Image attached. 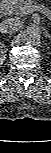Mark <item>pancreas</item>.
<instances>
[{
  "instance_id": "1",
  "label": "pancreas",
  "mask_w": 51,
  "mask_h": 153,
  "mask_svg": "<svg viewBox=\"0 0 51 153\" xmlns=\"http://www.w3.org/2000/svg\"><path fill=\"white\" fill-rule=\"evenodd\" d=\"M34 4V0H21L16 2L12 7H10L8 11L9 15L15 17H24L26 15V8Z\"/></svg>"
}]
</instances>
